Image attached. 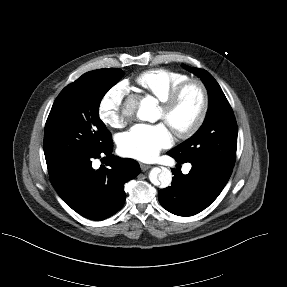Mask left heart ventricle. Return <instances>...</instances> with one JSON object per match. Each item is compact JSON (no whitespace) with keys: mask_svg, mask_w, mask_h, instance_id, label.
Masks as SVG:
<instances>
[{"mask_svg":"<svg viewBox=\"0 0 287 287\" xmlns=\"http://www.w3.org/2000/svg\"><path fill=\"white\" fill-rule=\"evenodd\" d=\"M201 95L196 87H190L183 95L176 110L166 119L160 109L159 118L171 129H184L190 126L200 111Z\"/></svg>","mask_w":287,"mask_h":287,"instance_id":"left-heart-ventricle-1","label":"left heart ventricle"}]
</instances>
